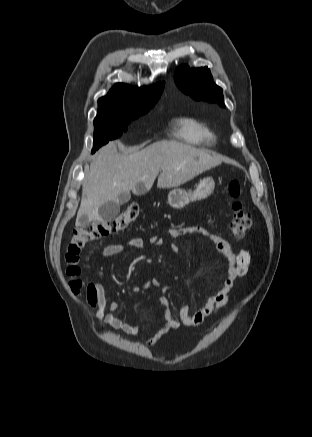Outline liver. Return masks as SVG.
Instances as JSON below:
<instances>
[{
	"label": "liver",
	"mask_w": 312,
	"mask_h": 437,
	"mask_svg": "<svg viewBox=\"0 0 312 437\" xmlns=\"http://www.w3.org/2000/svg\"><path fill=\"white\" fill-rule=\"evenodd\" d=\"M118 143L109 142L93 157L82 186L76 226L98 220L99 207L116 202L120 193L132 190L138 194V184L143 185L142 193L148 192L160 170L157 187L172 188L222 162L219 156L173 140L155 142L130 155L120 154Z\"/></svg>",
	"instance_id": "6515ba94"
}]
</instances>
